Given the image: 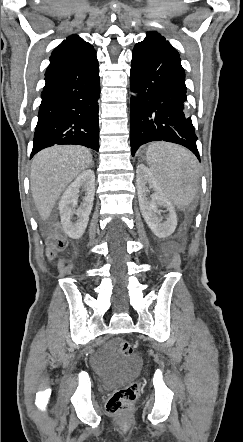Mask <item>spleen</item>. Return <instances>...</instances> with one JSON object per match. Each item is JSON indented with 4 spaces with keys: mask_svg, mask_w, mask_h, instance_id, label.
Listing matches in <instances>:
<instances>
[{
    "mask_svg": "<svg viewBox=\"0 0 243 442\" xmlns=\"http://www.w3.org/2000/svg\"><path fill=\"white\" fill-rule=\"evenodd\" d=\"M147 164L160 189L173 200V209L186 214L193 201L197 178L195 157L187 150L167 143L151 144L146 153Z\"/></svg>",
    "mask_w": 243,
    "mask_h": 442,
    "instance_id": "3e777b00",
    "label": "spleen"
}]
</instances>
